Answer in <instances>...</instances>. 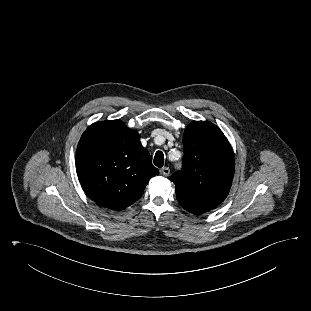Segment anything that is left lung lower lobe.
I'll return each mask as SVG.
<instances>
[{
    "mask_svg": "<svg viewBox=\"0 0 311 311\" xmlns=\"http://www.w3.org/2000/svg\"><path fill=\"white\" fill-rule=\"evenodd\" d=\"M176 197H177L179 204L185 210L195 215L208 212L217 207L216 204L195 200L177 191H176Z\"/></svg>",
    "mask_w": 311,
    "mask_h": 311,
    "instance_id": "left-lung-lower-lobe-1",
    "label": "left lung lower lobe"
}]
</instances>
